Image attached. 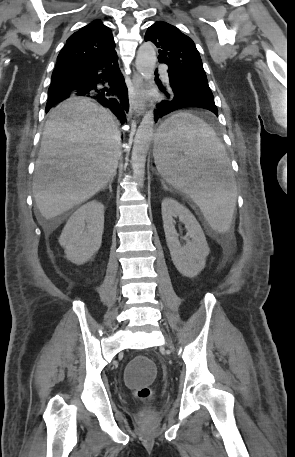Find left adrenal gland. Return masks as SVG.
Segmentation results:
<instances>
[{
  "instance_id": "1",
  "label": "left adrenal gland",
  "mask_w": 295,
  "mask_h": 457,
  "mask_svg": "<svg viewBox=\"0 0 295 457\" xmlns=\"http://www.w3.org/2000/svg\"><path fill=\"white\" fill-rule=\"evenodd\" d=\"M162 186L164 190H168V187L165 185V183L162 181Z\"/></svg>"
}]
</instances>
